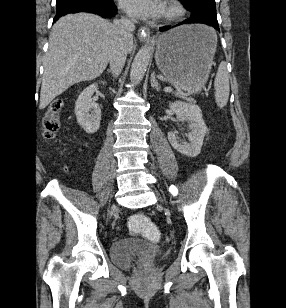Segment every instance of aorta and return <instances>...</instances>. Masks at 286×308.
<instances>
[{
    "instance_id": "1",
    "label": "aorta",
    "mask_w": 286,
    "mask_h": 308,
    "mask_svg": "<svg viewBox=\"0 0 286 308\" xmlns=\"http://www.w3.org/2000/svg\"><path fill=\"white\" fill-rule=\"evenodd\" d=\"M152 48L148 45L141 47L137 52L130 69V79L132 82H140L147 70Z\"/></svg>"
}]
</instances>
